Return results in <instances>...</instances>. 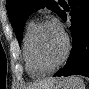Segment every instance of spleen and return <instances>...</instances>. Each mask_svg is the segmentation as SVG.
<instances>
[{"instance_id":"1","label":"spleen","mask_w":89,"mask_h":89,"mask_svg":"<svg viewBox=\"0 0 89 89\" xmlns=\"http://www.w3.org/2000/svg\"><path fill=\"white\" fill-rule=\"evenodd\" d=\"M68 82L74 87V89H85L84 81L79 77H70Z\"/></svg>"}]
</instances>
